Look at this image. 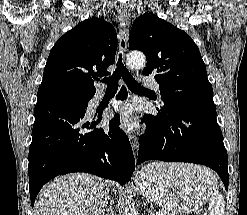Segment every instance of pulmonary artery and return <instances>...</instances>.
I'll list each match as a JSON object with an SVG mask.
<instances>
[{
  "mask_svg": "<svg viewBox=\"0 0 247 215\" xmlns=\"http://www.w3.org/2000/svg\"><path fill=\"white\" fill-rule=\"evenodd\" d=\"M143 84L146 88L154 89V90H159V85L158 83L150 77H146L143 79Z\"/></svg>",
  "mask_w": 247,
  "mask_h": 215,
  "instance_id": "pulmonary-artery-1",
  "label": "pulmonary artery"
}]
</instances>
